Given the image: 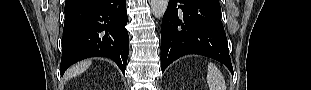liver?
<instances>
[{
    "mask_svg": "<svg viewBox=\"0 0 311 90\" xmlns=\"http://www.w3.org/2000/svg\"><path fill=\"white\" fill-rule=\"evenodd\" d=\"M91 65V60H85L74 65L67 73V78H72L86 71Z\"/></svg>",
    "mask_w": 311,
    "mask_h": 90,
    "instance_id": "obj_1",
    "label": "liver"
}]
</instances>
